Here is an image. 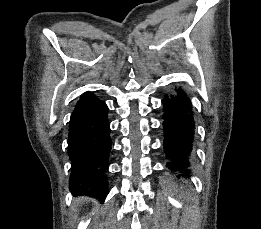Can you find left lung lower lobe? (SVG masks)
<instances>
[{
	"label": "left lung lower lobe",
	"mask_w": 261,
	"mask_h": 229,
	"mask_svg": "<svg viewBox=\"0 0 261 229\" xmlns=\"http://www.w3.org/2000/svg\"><path fill=\"white\" fill-rule=\"evenodd\" d=\"M178 96H166L164 104L163 128L164 151L169 160L166 167L179 177H189L190 159L194 139L195 123L192 116L190 99L181 89Z\"/></svg>",
	"instance_id": "left-lung-lower-lobe-1"
}]
</instances>
